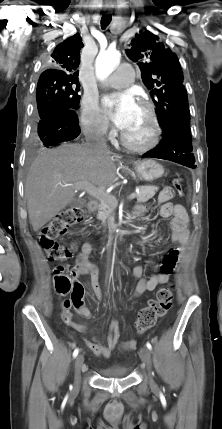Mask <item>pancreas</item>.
<instances>
[{
  "label": "pancreas",
  "instance_id": "cf45deb5",
  "mask_svg": "<svg viewBox=\"0 0 222 429\" xmlns=\"http://www.w3.org/2000/svg\"><path fill=\"white\" fill-rule=\"evenodd\" d=\"M158 190L159 188L157 186H141L139 188V193L136 194L137 202L148 201L149 199L153 198ZM100 202L101 204L97 218L102 221V224L105 225L107 221H109L111 218H114L117 202L111 201L109 198H103L100 200Z\"/></svg>",
  "mask_w": 222,
  "mask_h": 429
}]
</instances>
